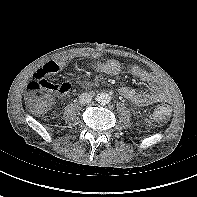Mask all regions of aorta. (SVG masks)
I'll return each mask as SVG.
<instances>
[{
    "label": "aorta",
    "instance_id": "1",
    "mask_svg": "<svg viewBox=\"0 0 197 197\" xmlns=\"http://www.w3.org/2000/svg\"><path fill=\"white\" fill-rule=\"evenodd\" d=\"M97 101L98 103L103 104V105L108 104L111 101V96L110 94L105 93V92L99 93L97 95Z\"/></svg>",
    "mask_w": 197,
    "mask_h": 197
}]
</instances>
